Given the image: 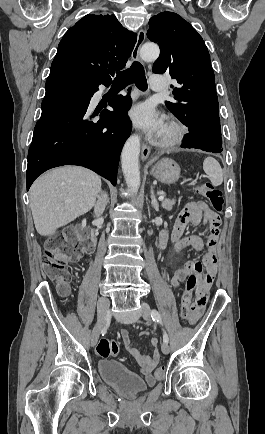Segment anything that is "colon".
<instances>
[{"label":"colon","instance_id":"obj_1","mask_svg":"<svg viewBox=\"0 0 265 434\" xmlns=\"http://www.w3.org/2000/svg\"><path fill=\"white\" fill-rule=\"evenodd\" d=\"M199 192L208 200L211 208L221 213L224 210V198L222 193L211 183H203ZM80 252L74 244V238L71 231L67 232L66 237L60 234L52 236L47 243V250L42 261V273L46 278L53 279L56 283L57 290L62 297L68 295L70 290L71 272L68 265L78 261ZM186 279V289L182 295L181 318L184 323H193L195 319L190 318V302L193 294V287L198 286V276L191 273ZM97 355L106 360L110 356L119 354V345L108 338L99 340L96 346ZM156 369L155 375L160 376L163 373V366L160 364Z\"/></svg>","mask_w":265,"mask_h":434}]
</instances>
